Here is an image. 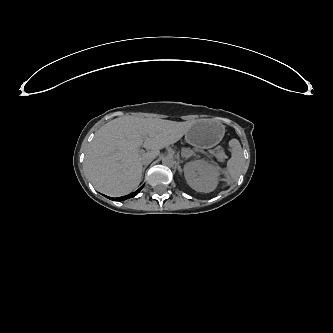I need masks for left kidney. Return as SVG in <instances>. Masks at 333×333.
<instances>
[{
    "instance_id": "1",
    "label": "left kidney",
    "mask_w": 333,
    "mask_h": 333,
    "mask_svg": "<svg viewBox=\"0 0 333 333\" xmlns=\"http://www.w3.org/2000/svg\"><path fill=\"white\" fill-rule=\"evenodd\" d=\"M188 185L197 192L209 193L216 189L220 180V167L204 159L193 160L184 165Z\"/></svg>"
}]
</instances>
